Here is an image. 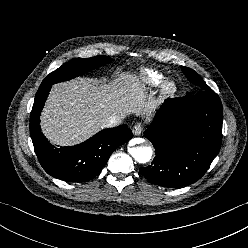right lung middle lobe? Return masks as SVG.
Here are the masks:
<instances>
[{"mask_svg":"<svg viewBox=\"0 0 248 248\" xmlns=\"http://www.w3.org/2000/svg\"><path fill=\"white\" fill-rule=\"evenodd\" d=\"M109 56H96L91 58H75L68 63L63 64L60 68L50 73L41 83L42 85L54 84L67 81L81 74L87 73L103 64L109 63Z\"/></svg>","mask_w":248,"mask_h":248,"instance_id":"right-lung-middle-lobe-1","label":"right lung middle lobe"}]
</instances>
